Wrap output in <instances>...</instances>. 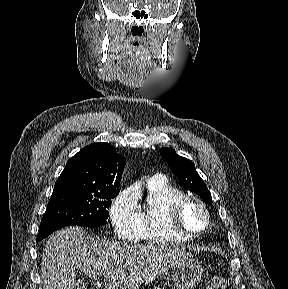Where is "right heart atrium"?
Returning a JSON list of instances; mask_svg holds the SVG:
<instances>
[{
    "label": "right heart atrium",
    "instance_id": "d8ad5b80",
    "mask_svg": "<svg viewBox=\"0 0 288 289\" xmlns=\"http://www.w3.org/2000/svg\"><path fill=\"white\" fill-rule=\"evenodd\" d=\"M109 215L116 235L125 240L140 238L141 218L137 201L128 191L123 190L112 200Z\"/></svg>",
    "mask_w": 288,
    "mask_h": 289
}]
</instances>
